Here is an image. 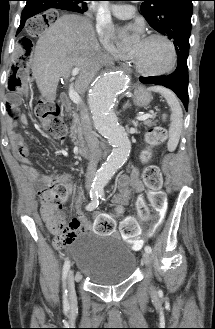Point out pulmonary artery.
I'll return each instance as SVG.
<instances>
[{
	"label": "pulmonary artery",
	"mask_w": 215,
	"mask_h": 329,
	"mask_svg": "<svg viewBox=\"0 0 215 329\" xmlns=\"http://www.w3.org/2000/svg\"><path fill=\"white\" fill-rule=\"evenodd\" d=\"M110 9L112 14L120 19L131 18L136 11V8L129 4H114Z\"/></svg>",
	"instance_id": "pulmonary-artery-1"
}]
</instances>
